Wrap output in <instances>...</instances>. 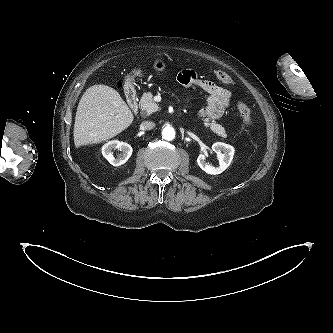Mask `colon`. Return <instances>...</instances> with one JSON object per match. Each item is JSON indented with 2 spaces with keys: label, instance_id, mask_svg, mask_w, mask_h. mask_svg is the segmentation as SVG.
Here are the masks:
<instances>
[{
  "label": "colon",
  "instance_id": "colon-1",
  "mask_svg": "<svg viewBox=\"0 0 333 333\" xmlns=\"http://www.w3.org/2000/svg\"><path fill=\"white\" fill-rule=\"evenodd\" d=\"M215 76L216 78L224 83V84H231L232 83V78L231 76L224 72V71H215ZM237 109L239 111V114L243 120V123L245 124V126H247L248 128H252L254 126V122L251 116V110L250 108L243 103L242 101H238L237 102Z\"/></svg>",
  "mask_w": 333,
  "mask_h": 333
}]
</instances>
